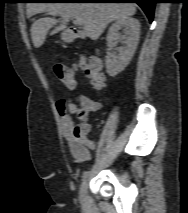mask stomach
Instances as JSON below:
<instances>
[{
	"label": "stomach",
	"mask_w": 188,
	"mask_h": 213,
	"mask_svg": "<svg viewBox=\"0 0 188 213\" xmlns=\"http://www.w3.org/2000/svg\"><path fill=\"white\" fill-rule=\"evenodd\" d=\"M62 39L64 40V41H70V37L66 34V33H63L62 34Z\"/></svg>",
	"instance_id": "0dacf381"
}]
</instances>
